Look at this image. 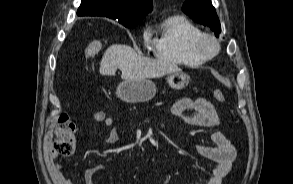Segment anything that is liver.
I'll return each instance as SVG.
<instances>
[{
  "mask_svg": "<svg viewBox=\"0 0 293 184\" xmlns=\"http://www.w3.org/2000/svg\"><path fill=\"white\" fill-rule=\"evenodd\" d=\"M122 72L124 80L158 78L180 68L174 64L160 60H153L136 53L128 45H111L104 53L99 72L101 75L114 76L116 70Z\"/></svg>",
  "mask_w": 293,
  "mask_h": 184,
  "instance_id": "obj_1",
  "label": "liver"
}]
</instances>
